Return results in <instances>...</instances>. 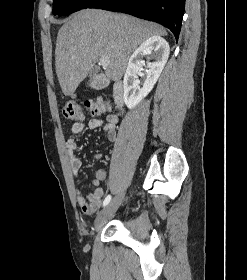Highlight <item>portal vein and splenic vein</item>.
Listing matches in <instances>:
<instances>
[{
	"mask_svg": "<svg viewBox=\"0 0 247 280\" xmlns=\"http://www.w3.org/2000/svg\"><path fill=\"white\" fill-rule=\"evenodd\" d=\"M109 58L108 57H106V56H102V57H100V59H99V63H100V65H102V66H107L108 64H109Z\"/></svg>",
	"mask_w": 247,
	"mask_h": 280,
	"instance_id": "18ae733b",
	"label": "portal vein and splenic vein"
}]
</instances>
